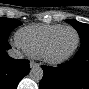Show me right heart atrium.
<instances>
[{"label":"right heart atrium","instance_id":"obj_1","mask_svg":"<svg viewBox=\"0 0 89 89\" xmlns=\"http://www.w3.org/2000/svg\"><path fill=\"white\" fill-rule=\"evenodd\" d=\"M13 45L18 48V49H23L21 44L19 43V41L17 40V37L15 39H13L12 41Z\"/></svg>","mask_w":89,"mask_h":89}]
</instances>
